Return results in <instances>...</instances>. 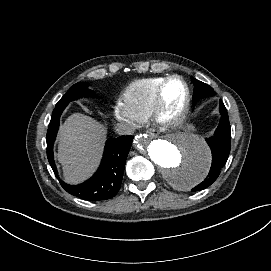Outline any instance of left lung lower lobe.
Listing matches in <instances>:
<instances>
[{
    "label": "left lung lower lobe",
    "mask_w": 271,
    "mask_h": 271,
    "mask_svg": "<svg viewBox=\"0 0 271 271\" xmlns=\"http://www.w3.org/2000/svg\"><path fill=\"white\" fill-rule=\"evenodd\" d=\"M220 112L221 120L214 136L206 139L212 152L211 169L207 178L192 189L193 192L200 191L210 186L218 178L221 169L227 162L231 148V127L227 110L221 100Z\"/></svg>",
    "instance_id": "left-lung-lower-lobe-1"
}]
</instances>
